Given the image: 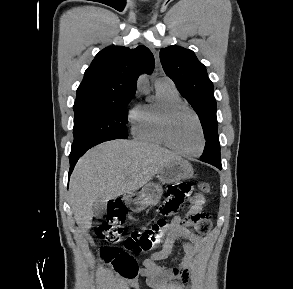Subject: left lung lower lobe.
Masks as SVG:
<instances>
[{
  "mask_svg": "<svg viewBox=\"0 0 293 289\" xmlns=\"http://www.w3.org/2000/svg\"><path fill=\"white\" fill-rule=\"evenodd\" d=\"M219 145V138H218V135H211L210 137L206 138V144H205V149H204V153H207V152H210L212 151L213 149H215L216 146ZM202 154V156H203ZM202 156L200 157L201 161H204L206 162ZM208 163V162H206ZM210 164V163H209ZM211 165L217 167L218 169H222V165L221 163H212Z\"/></svg>",
  "mask_w": 293,
  "mask_h": 289,
  "instance_id": "0a47b994",
  "label": "left lung lower lobe"
}]
</instances>
